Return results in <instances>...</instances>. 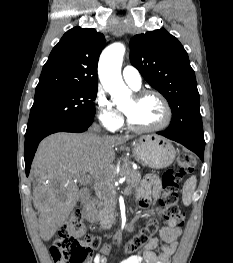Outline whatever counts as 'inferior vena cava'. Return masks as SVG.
I'll return each instance as SVG.
<instances>
[{"instance_id":"inferior-vena-cava-1","label":"inferior vena cava","mask_w":233,"mask_h":263,"mask_svg":"<svg viewBox=\"0 0 233 263\" xmlns=\"http://www.w3.org/2000/svg\"><path fill=\"white\" fill-rule=\"evenodd\" d=\"M100 184H102L100 181H97V182H96V186H98V185H100Z\"/></svg>"}]
</instances>
